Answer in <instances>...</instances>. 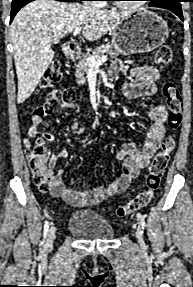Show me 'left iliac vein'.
Wrapping results in <instances>:
<instances>
[{
  "instance_id": "left-iliac-vein-1",
  "label": "left iliac vein",
  "mask_w": 193,
  "mask_h": 287,
  "mask_svg": "<svg viewBox=\"0 0 193 287\" xmlns=\"http://www.w3.org/2000/svg\"><path fill=\"white\" fill-rule=\"evenodd\" d=\"M136 238L138 239L139 242L143 241V232L140 225H138L136 228Z\"/></svg>"
}]
</instances>
